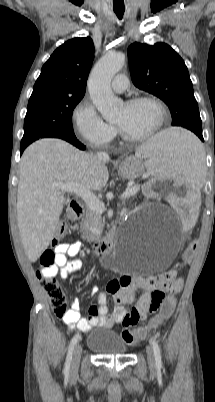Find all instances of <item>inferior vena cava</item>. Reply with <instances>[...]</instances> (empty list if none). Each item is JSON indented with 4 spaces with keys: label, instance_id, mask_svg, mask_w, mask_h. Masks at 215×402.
Masks as SVG:
<instances>
[{
    "label": "inferior vena cava",
    "instance_id": "602c4592",
    "mask_svg": "<svg viewBox=\"0 0 215 402\" xmlns=\"http://www.w3.org/2000/svg\"><path fill=\"white\" fill-rule=\"evenodd\" d=\"M97 156H98V158L103 159V160L109 159V155L107 153L98 152Z\"/></svg>",
    "mask_w": 215,
    "mask_h": 402
}]
</instances>
